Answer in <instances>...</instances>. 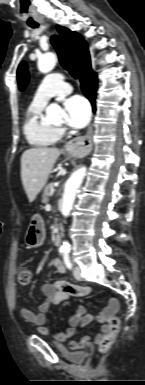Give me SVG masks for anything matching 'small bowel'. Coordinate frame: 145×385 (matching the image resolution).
Returning a JSON list of instances; mask_svg holds the SVG:
<instances>
[{"label":"small bowel","mask_w":145,"mask_h":385,"mask_svg":"<svg viewBox=\"0 0 145 385\" xmlns=\"http://www.w3.org/2000/svg\"><path fill=\"white\" fill-rule=\"evenodd\" d=\"M47 268H55L59 273H66L65 266L63 263L57 259L53 258L47 263ZM62 284L74 285L67 282H54V283H46L42 286L41 290L45 297V301L40 304L38 312H33L32 310L22 307L20 308V315L23 319L28 322L35 324L38 327V330L41 334L47 335L49 333L48 329L45 327L47 320L48 311L57 306L60 302L69 299L72 296H86L90 292V288L88 286H76L80 292L76 295L68 294L63 292L60 289ZM12 298L15 300V292L12 290ZM118 306V302L114 299L110 301V306ZM109 306V307H110ZM110 315L109 308L101 311L96 319L101 323L100 331L94 336H86L81 341H70L69 348L73 351L81 350L85 347L90 346L91 344L98 343L102 336L108 330V317ZM94 316L92 314H88L86 308L84 306H78L76 309V313L69 318L68 327L64 332H55L53 337L58 342H65L71 339L78 327H85L90 324L94 320Z\"/></svg>","instance_id":"1"}]
</instances>
